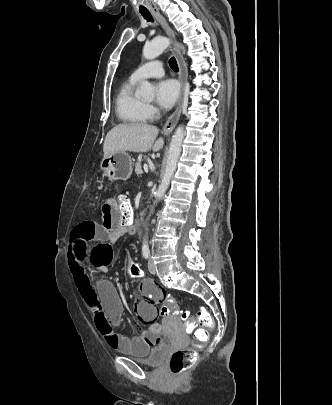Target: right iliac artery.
I'll list each match as a JSON object with an SVG mask.
<instances>
[{"mask_svg": "<svg viewBox=\"0 0 332 405\" xmlns=\"http://www.w3.org/2000/svg\"><path fill=\"white\" fill-rule=\"evenodd\" d=\"M142 254H143V257H144L145 259H148V258L150 257L149 248L144 247V248L142 249Z\"/></svg>", "mask_w": 332, "mask_h": 405, "instance_id": "82829eb1", "label": "right iliac artery"}]
</instances>
